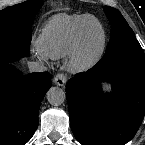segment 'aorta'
Wrapping results in <instances>:
<instances>
[{
    "label": "aorta",
    "instance_id": "aorta-1",
    "mask_svg": "<svg viewBox=\"0 0 145 145\" xmlns=\"http://www.w3.org/2000/svg\"><path fill=\"white\" fill-rule=\"evenodd\" d=\"M65 98L66 93L61 88L52 87L47 92V100L51 105L55 106L61 105L65 101Z\"/></svg>",
    "mask_w": 145,
    "mask_h": 145
}]
</instances>
